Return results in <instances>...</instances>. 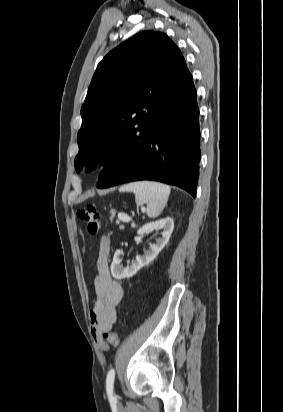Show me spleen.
I'll list each match as a JSON object with an SVG mask.
<instances>
[{
    "instance_id": "3e777b00",
    "label": "spleen",
    "mask_w": 283,
    "mask_h": 412,
    "mask_svg": "<svg viewBox=\"0 0 283 412\" xmlns=\"http://www.w3.org/2000/svg\"><path fill=\"white\" fill-rule=\"evenodd\" d=\"M119 191L133 192L136 205L141 206L146 203L147 216L156 218L166 206L171 189L168 185L158 182L138 181L123 185Z\"/></svg>"
}]
</instances>
